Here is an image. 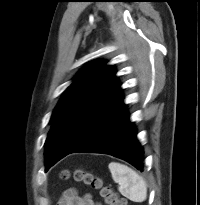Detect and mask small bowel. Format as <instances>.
<instances>
[{
    "mask_svg": "<svg viewBox=\"0 0 200 205\" xmlns=\"http://www.w3.org/2000/svg\"><path fill=\"white\" fill-rule=\"evenodd\" d=\"M58 205H98L90 196L80 197L75 191L69 190L65 192Z\"/></svg>",
    "mask_w": 200,
    "mask_h": 205,
    "instance_id": "obj_1",
    "label": "small bowel"
}]
</instances>
